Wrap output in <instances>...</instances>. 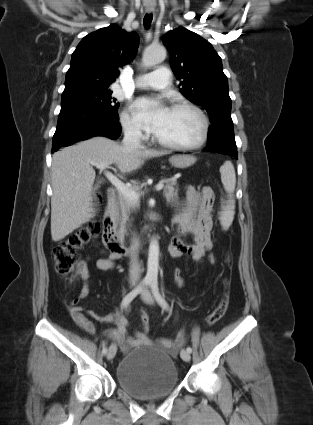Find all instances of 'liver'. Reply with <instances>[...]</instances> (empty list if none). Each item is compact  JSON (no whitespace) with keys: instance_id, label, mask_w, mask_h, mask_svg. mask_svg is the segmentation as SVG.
<instances>
[{"instance_id":"obj_1","label":"liver","mask_w":313,"mask_h":425,"mask_svg":"<svg viewBox=\"0 0 313 425\" xmlns=\"http://www.w3.org/2000/svg\"><path fill=\"white\" fill-rule=\"evenodd\" d=\"M140 147L127 150L105 137H93L54 153L52 158L51 236L64 239L94 217L95 170L91 162L115 164L122 174L138 169L146 159L168 154Z\"/></svg>"}]
</instances>
